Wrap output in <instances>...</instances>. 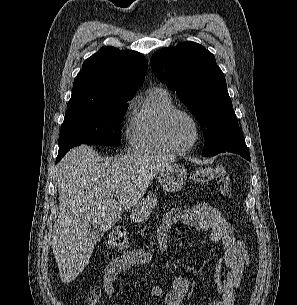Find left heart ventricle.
Here are the masks:
<instances>
[{"instance_id":"1","label":"left heart ventricle","mask_w":297,"mask_h":305,"mask_svg":"<svg viewBox=\"0 0 297 305\" xmlns=\"http://www.w3.org/2000/svg\"><path fill=\"white\" fill-rule=\"evenodd\" d=\"M169 135L176 146L185 147L195 137L194 126L187 117L176 115L169 124Z\"/></svg>"}]
</instances>
